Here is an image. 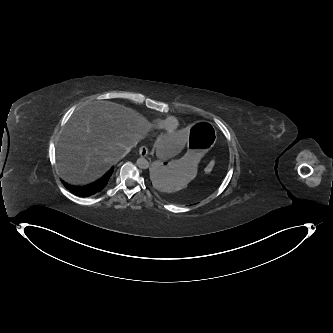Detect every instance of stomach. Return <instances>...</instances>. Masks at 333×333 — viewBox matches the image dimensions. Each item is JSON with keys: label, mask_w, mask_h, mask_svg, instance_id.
Segmentation results:
<instances>
[{"label": "stomach", "mask_w": 333, "mask_h": 333, "mask_svg": "<svg viewBox=\"0 0 333 333\" xmlns=\"http://www.w3.org/2000/svg\"><path fill=\"white\" fill-rule=\"evenodd\" d=\"M211 123L199 121L191 127L187 153L179 160L160 159L152 165L149 179L164 193H175L191 183L201 158L215 145L216 131Z\"/></svg>", "instance_id": "0dacf381"}]
</instances>
